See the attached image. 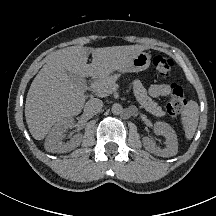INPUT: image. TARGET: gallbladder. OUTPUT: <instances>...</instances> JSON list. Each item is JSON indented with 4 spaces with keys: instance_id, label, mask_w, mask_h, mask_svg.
Returning a JSON list of instances; mask_svg holds the SVG:
<instances>
[{
    "instance_id": "bac80fb5",
    "label": "gallbladder",
    "mask_w": 216,
    "mask_h": 216,
    "mask_svg": "<svg viewBox=\"0 0 216 216\" xmlns=\"http://www.w3.org/2000/svg\"><path fill=\"white\" fill-rule=\"evenodd\" d=\"M68 77L70 78V80L82 84V78L79 75H76L74 73L71 72H67Z\"/></svg>"
}]
</instances>
